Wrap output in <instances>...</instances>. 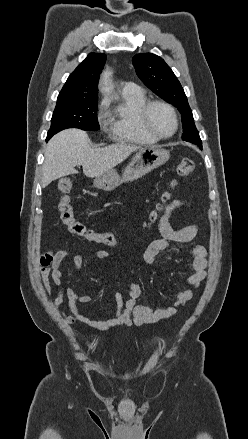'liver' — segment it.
I'll list each match as a JSON object with an SVG mask.
<instances>
[{
  "mask_svg": "<svg viewBox=\"0 0 248 439\" xmlns=\"http://www.w3.org/2000/svg\"><path fill=\"white\" fill-rule=\"evenodd\" d=\"M141 147L118 143L104 148H92L85 131L67 129L53 136L47 144L43 164L42 186L61 177L75 174L83 167L86 177L94 178L112 170L132 152Z\"/></svg>",
  "mask_w": 248,
  "mask_h": 439,
  "instance_id": "1",
  "label": "liver"
}]
</instances>
